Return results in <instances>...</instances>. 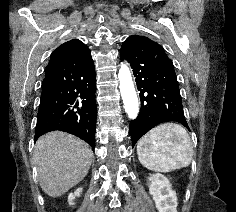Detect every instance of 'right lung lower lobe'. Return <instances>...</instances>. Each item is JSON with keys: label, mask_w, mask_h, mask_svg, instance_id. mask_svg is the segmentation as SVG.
<instances>
[{"label": "right lung lower lobe", "mask_w": 236, "mask_h": 212, "mask_svg": "<svg viewBox=\"0 0 236 212\" xmlns=\"http://www.w3.org/2000/svg\"><path fill=\"white\" fill-rule=\"evenodd\" d=\"M34 141L41 135L61 130L73 134L94 149L96 124V75L89 48L45 69Z\"/></svg>", "instance_id": "obj_1"}]
</instances>
